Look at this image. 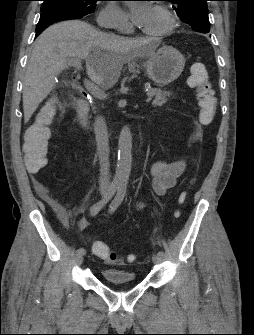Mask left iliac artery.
<instances>
[{
	"label": "left iliac artery",
	"mask_w": 254,
	"mask_h": 335,
	"mask_svg": "<svg viewBox=\"0 0 254 335\" xmlns=\"http://www.w3.org/2000/svg\"><path fill=\"white\" fill-rule=\"evenodd\" d=\"M126 184L122 183L118 186V192L117 195L115 196V198L113 199V201L111 202L110 206H109V212L113 213L122 203L125 194H126ZM157 255L161 258H163L165 256V253L163 250H158L157 251Z\"/></svg>",
	"instance_id": "left-iliac-artery-1"
}]
</instances>
